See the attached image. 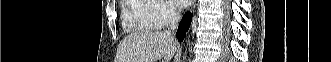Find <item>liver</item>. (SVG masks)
<instances>
[{
    "instance_id": "6515ba94",
    "label": "liver",
    "mask_w": 331,
    "mask_h": 62,
    "mask_svg": "<svg viewBox=\"0 0 331 62\" xmlns=\"http://www.w3.org/2000/svg\"><path fill=\"white\" fill-rule=\"evenodd\" d=\"M176 50L174 38L165 31L135 32L120 42L115 62H170Z\"/></svg>"
}]
</instances>
